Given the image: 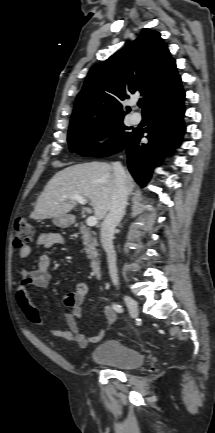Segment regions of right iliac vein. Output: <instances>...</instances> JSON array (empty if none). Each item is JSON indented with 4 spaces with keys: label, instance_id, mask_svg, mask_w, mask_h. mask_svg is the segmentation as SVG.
I'll use <instances>...</instances> for the list:
<instances>
[{
    "label": "right iliac vein",
    "instance_id": "right-iliac-vein-1",
    "mask_svg": "<svg viewBox=\"0 0 215 433\" xmlns=\"http://www.w3.org/2000/svg\"><path fill=\"white\" fill-rule=\"evenodd\" d=\"M124 301L129 309L132 318H137L139 315V308L137 302L128 295L123 296Z\"/></svg>",
    "mask_w": 215,
    "mask_h": 433
}]
</instances>
